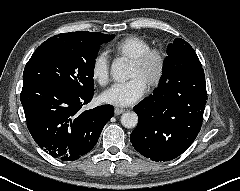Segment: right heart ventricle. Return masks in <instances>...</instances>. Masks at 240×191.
Returning a JSON list of instances; mask_svg holds the SVG:
<instances>
[{"mask_svg": "<svg viewBox=\"0 0 240 191\" xmlns=\"http://www.w3.org/2000/svg\"><path fill=\"white\" fill-rule=\"evenodd\" d=\"M150 48L151 45L146 39L131 35L117 41L111 50L117 56L132 60Z\"/></svg>", "mask_w": 240, "mask_h": 191, "instance_id": "obj_1", "label": "right heart ventricle"}]
</instances>
